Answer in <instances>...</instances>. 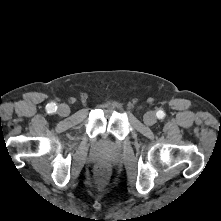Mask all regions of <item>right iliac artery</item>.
Here are the masks:
<instances>
[{
	"mask_svg": "<svg viewBox=\"0 0 221 221\" xmlns=\"http://www.w3.org/2000/svg\"><path fill=\"white\" fill-rule=\"evenodd\" d=\"M46 110L48 113L52 114V113L56 112L57 106L54 103H49L46 106Z\"/></svg>",
	"mask_w": 221,
	"mask_h": 221,
	"instance_id": "82829eb1",
	"label": "right iliac artery"
}]
</instances>
